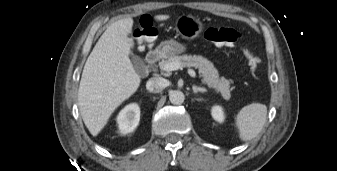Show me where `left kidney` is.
Wrapping results in <instances>:
<instances>
[{
	"label": "left kidney",
	"mask_w": 337,
	"mask_h": 171,
	"mask_svg": "<svg viewBox=\"0 0 337 171\" xmlns=\"http://www.w3.org/2000/svg\"><path fill=\"white\" fill-rule=\"evenodd\" d=\"M212 117L219 123L224 122L225 116L222 107L216 105L211 110Z\"/></svg>",
	"instance_id": "5707ae66"
}]
</instances>
